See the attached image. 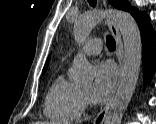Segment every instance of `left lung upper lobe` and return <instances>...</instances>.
Masks as SVG:
<instances>
[{"instance_id": "5c2ea615", "label": "left lung upper lobe", "mask_w": 156, "mask_h": 124, "mask_svg": "<svg viewBox=\"0 0 156 124\" xmlns=\"http://www.w3.org/2000/svg\"><path fill=\"white\" fill-rule=\"evenodd\" d=\"M109 2L116 8L129 11L131 14L136 11L135 8H131L129 2L127 0H109Z\"/></svg>"}]
</instances>
